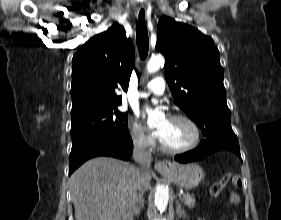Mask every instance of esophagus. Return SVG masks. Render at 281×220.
<instances>
[{
	"mask_svg": "<svg viewBox=\"0 0 281 220\" xmlns=\"http://www.w3.org/2000/svg\"><path fill=\"white\" fill-rule=\"evenodd\" d=\"M147 12L144 7H140L137 11V19L139 22L143 23L146 21ZM155 169L160 173L170 172L174 165L170 160L157 161L154 165Z\"/></svg>",
	"mask_w": 281,
	"mask_h": 220,
	"instance_id": "obj_1",
	"label": "esophagus"
}]
</instances>
